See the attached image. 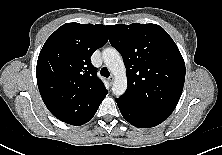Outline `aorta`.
I'll return each instance as SVG.
<instances>
[{"instance_id": "aorta-1", "label": "aorta", "mask_w": 222, "mask_h": 155, "mask_svg": "<svg viewBox=\"0 0 222 155\" xmlns=\"http://www.w3.org/2000/svg\"><path fill=\"white\" fill-rule=\"evenodd\" d=\"M102 58L107 68L114 75L112 92L116 96L122 95L127 89L126 68L120 53L112 47L105 48Z\"/></svg>"}]
</instances>
